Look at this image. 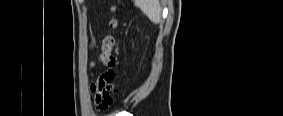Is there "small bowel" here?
Returning a JSON list of instances; mask_svg holds the SVG:
<instances>
[{
	"label": "small bowel",
	"mask_w": 283,
	"mask_h": 116,
	"mask_svg": "<svg viewBox=\"0 0 283 116\" xmlns=\"http://www.w3.org/2000/svg\"><path fill=\"white\" fill-rule=\"evenodd\" d=\"M111 84L105 82L101 84V77L97 78L94 82L91 83L90 89L94 94L95 103L102 101L103 99H108L110 96L109 89Z\"/></svg>",
	"instance_id": "small-bowel-1"
}]
</instances>
